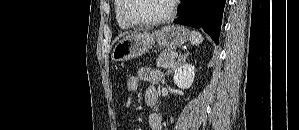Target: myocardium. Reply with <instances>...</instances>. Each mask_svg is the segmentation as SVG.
<instances>
[{"label": "myocardium", "mask_w": 299, "mask_h": 130, "mask_svg": "<svg viewBox=\"0 0 299 130\" xmlns=\"http://www.w3.org/2000/svg\"><path fill=\"white\" fill-rule=\"evenodd\" d=\"M131 0H124V5H123V10H122V14L124 19L130 23L131 25L134 26H151V25H156V24H161L164 22H167L168 20H170L175 12V7H176V1H171L170 6L168 11L159 17H155V18H151V19H146V20H139L136 19L134 17H132L129 13V4H130Z\"/></svg>", "instance_id": "myocardium-1"}]
</instances>
